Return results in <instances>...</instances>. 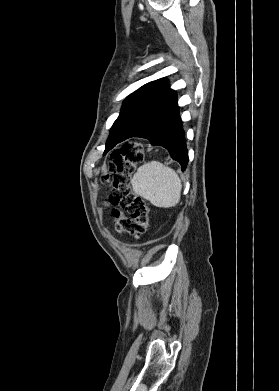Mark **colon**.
<instances>
[{
	"instance_id": "colon-1",
	"label": "colon",
	"mask_w": 279,
	"mask_h": 391,
	"mask_svg": "<svg viewBox=\"0 0 279 391\" xmlns=\"http://www.w3.org/2000/svg\"><path fill=\"white\" fill-rule=\"evenodd\" d=\"M143 157L142 144L130 142L122 145L112 154L109 173L104 177L111 186L108 204L114 207L111 214L116 230L136 238L146 233L149 224V206L131 187L132 176Z\"/></svg>"
}]
</instances>
